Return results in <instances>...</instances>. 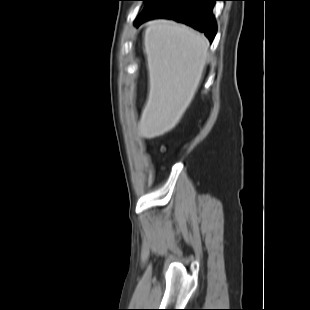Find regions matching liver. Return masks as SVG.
Wrapping results in <instances>:
<instances>
[{
  "label": "liver",
  "mask_w": 310,
  "mask_h": 310,
  "mask_svg": "<svg viewBox=\"0 0 310 310\" xmlns=\"http://www.w3.org/2000/svg\"><path fill=\"white\" fill-rule=\"evenodd\" d=\"M209 41L170 20H154L144 32L149 94L139 135L152 139L179 123L191 104L208 60Z\"/></svg>",
  "instance_id": "6515ba94"
}]
</instances>
